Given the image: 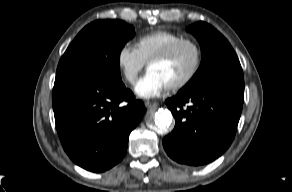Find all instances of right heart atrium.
<instances>
[{
    "mask_svg": "<svg viewBox=\"0 0 292 192\" xmlns=\"http://www.w3.org/2000/svg\"><path fill=\"white\" fill-rule=\"evenodd\" d=\"M116 63L123 78L131 85L135 84L145 66L137 49L130 44H124L119 48Z\"/></svg>",
    "mask_w": 292,
    "mask_h": 192,
    "instance_id": "right-heart-atrium-1",
    "label": "right heart atrium"
}]
</instances>
